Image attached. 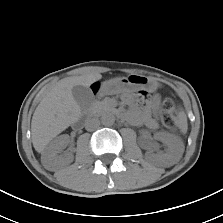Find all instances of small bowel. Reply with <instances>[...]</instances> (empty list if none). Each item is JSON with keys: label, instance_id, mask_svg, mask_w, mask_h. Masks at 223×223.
Wrapping results in <instances>:
<instances>
[{"label": "small bowel", "instance_id": "1", "mask_svg": "<svg viewBox=\"0 0 223 223\" xmlns=\"http://www.w3.org/2000/svg\"><path fill=\"white\" fill-rule=\"evenodd\" d=\"M140 103L146 109V114L144 115V122L146 125L152 129L157 127V121L159 116V110L161 105V100L158 94L145 95L140 98ZM134 122H138L139 118L132 117Z\"/></svg>", "mask_w": 223, "mask_h": 223}]
</instances>
